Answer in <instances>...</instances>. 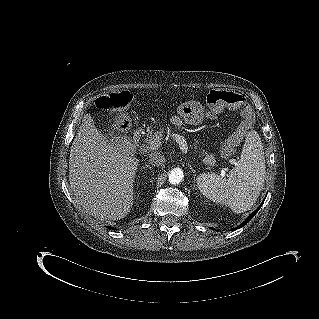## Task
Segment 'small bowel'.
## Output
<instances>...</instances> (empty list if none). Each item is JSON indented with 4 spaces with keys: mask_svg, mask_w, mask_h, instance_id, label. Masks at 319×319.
Listing matches in <instances>:
<instances>
[{
    "mask_svg": "<svg viewBox=\"0 0 319 319\" xmlns=\"http://www.w3.org/2000/svg\"><path fill=\"white\" fill-rule=\"evenodd\" d=\"M172 122L175 125H180L181 124V120L178 117H173L172 118Z\"/></svg>",
    "mask_w": 319,
    "mask_h": 319,
    "instance_id": "c3829d8e",
    "label": "small bowel"
}]
</instances>
